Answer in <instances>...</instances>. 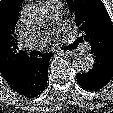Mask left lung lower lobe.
<instances>
[{
    "label": "left lung lower lobe",
    "mask_w": 113,
    "mask_h": 113,
    "mask_svg": "<svg viewBox=\"0 0 113 113\" xmlns=\"http://www.w3.org/2000/svg\"><path fill=\"white\" fill-rule=\"evenodd\" d=\"M91 53L95 58L93 68L82 74H77L79 85L89 91H97L108 84L113 76V52L92 46Z\"/></svg>",
    "instance_id": "obj_1"
}]
</instances>
